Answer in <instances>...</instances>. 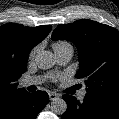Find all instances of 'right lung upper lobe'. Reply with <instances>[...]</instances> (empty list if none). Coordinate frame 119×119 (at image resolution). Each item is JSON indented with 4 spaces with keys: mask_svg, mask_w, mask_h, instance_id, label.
I'll use <instances>...</instances> for the list:
<instances>
[{
    "mask_svg": "<svg viewBox=\"0 0 119 119\" xmlns=\"http://www.w3.org/2000/svg\"><path fill=\"white\" fill-rule=\"evenodd\" d=\"M51 25L34 28L9 23L0 26V118L27 93L17 80L26 71L31 49L50 32Z\"/></svg>",
    "mask_w": 119,
    "mask_h": 119,
    "instance_id": "obj_1",
    "label": "right lung upper lobe"
}]
</instances>
